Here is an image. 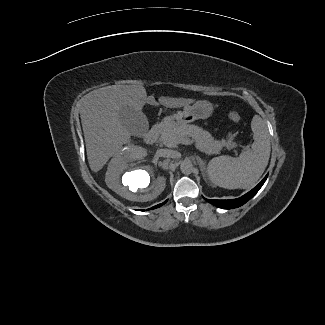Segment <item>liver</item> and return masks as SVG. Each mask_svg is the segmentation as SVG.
Returning a JSON list of instances; mask_svg holds the SVG:
<instances>
[{
  "mask_svg": "<svg viewBox=\"0 0 325 325\" xmlns=\"http://www.w3.org/2000/svg\"><path fill=\"white\" fill-rule=\"evenodd\" d=\"M194 101L190 98L159 97V103L168 108H180ZM146 103L158 104L154 97H147L142 85L106 86L84 96L80 117L87 158L93 172L101 170L113 155L119 154L124 144L130 145L131 153L136 158L146 156L143 148L131 144V133L119 118L123 107L141 111Z\"/></svg>",
  "mask_w": 325,
  "mask_h": 325,
  "instance_id": "obj_1",
  "label": "liver"
}]
</instances>
